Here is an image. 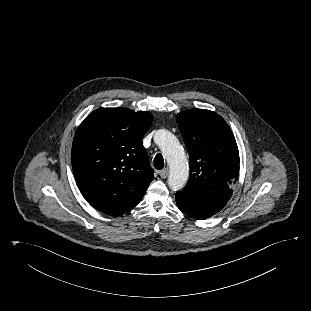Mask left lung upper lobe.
Instances as JSON below:
<instances>
[{
  "mask_svg": "<svg viewBox=\"0 0 311 311\" xmlns=\"http://www.w3.org/2000/svg\"><path fill=\"white\" fill-rule=\"evenodd\" d=\"M190 158L185 188L228 202L239 174V151L234 135L217 113L190 109L176 116Z\"/></svg>",
  "mask_w": 311,
  "mask_h": 311,
  "instance_id": "5c2ea615",
  "label": "left lung upper lobe"
}]
</instances>
